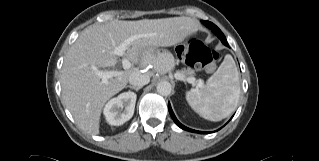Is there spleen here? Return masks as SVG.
I'll return each mask as SVG.
<instances>
[{
  "mask_svg": "<svg viewBox=\"0 0 319 161\" xmlns=\"http://www.w3.org/2000/svg\"><path fill=\"white\" fill-rule=\"evenodd\" d=\"M239 97V75L231 55L225 56L205 85L186 92V100L191 108L210 121L228 117L236 109Z\"/></svg>",
  "mask_w": 319,
  "mask_h": 161,
  "instance_id": "1",
  "label": "spleen"
}]
</instances>
